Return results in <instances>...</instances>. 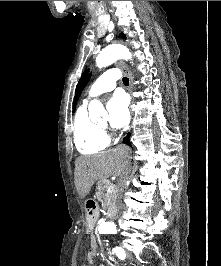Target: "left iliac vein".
Returning <instances> with one entry per match:
<instances>
[{
  "label": "left iliac vein",
  "instance_id": "1",
  "mask_svg": "<svg viewBox=\"0 0 221 266\" xmlns=\"http://www.w3.org/2000/svg\"><path fill=\"white\" fill-rule=\"evenodd\" d=\"M126 255H127L128 258H131L132 257V253H130V252H127Z\"/></svg>",
  "mask_w": 221,
  "mask_h": 266
}]
</instances>
